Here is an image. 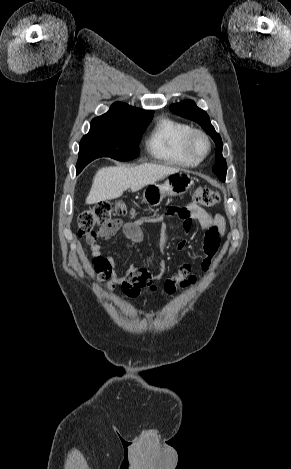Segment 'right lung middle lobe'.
I'll return each mask as SVG.
<instances>
[{"instance_id": "obj_1", "label": "right lung middle lobe", "mask_w": 291, "mask_h": 469, "mask_svg": "<svg viewBox=\"0 0 291 469\" xmlns=\"http://www.w3.org/2000/svg\"><path fill=\"white\" fill-rule=\"evenodd\" d=\"M152 116L135 120L93 119L89 133L80 141L76 173L99 157L120 161L137 158L139 140Z\"/></svg>"}]
</instances>
